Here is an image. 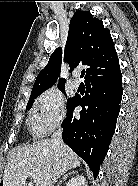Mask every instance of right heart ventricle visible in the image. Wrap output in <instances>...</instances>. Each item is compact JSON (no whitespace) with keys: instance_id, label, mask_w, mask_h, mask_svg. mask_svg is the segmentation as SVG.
Returning <instances> with one entry per match:
<instances>
[{"instance_id":"e07e8e85","label":"right heart ventricle","mask_w":138,"mask_h":186,"mask_svg":"<svg viewBox=\"0 0 138 186\" xmlns=\"http://www.w3.org/2000/svg\"><path fill=\"white\" fill-rule=\"evenodd\" d=\"M30 121H31V127H32L33 132H34L35 134H37V135L42 134V132L39 130V128H38L37 125H36L34 114L32 115Z\"/></svg>"}]
</instances>
